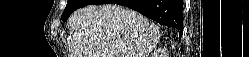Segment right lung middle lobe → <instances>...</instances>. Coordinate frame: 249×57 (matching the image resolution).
Returning a JSON list of instances; mask_svg holds the SVG:
<instances>
[{"label": "right lung middle lobe", "instance_id": "dd1d6c3e", "mask_svg": "<svg viewBox=\"0 0 249 57\" xmlns=\"http://www.w3.org/2000/svg\"><path fill=\"white\" fill-rule=\"evenodd\" d=\"M91 1L92 0H68L64 13L61 17L62 20L66 21L74 10L89 5Z\"/></svg>", "mask_w": 249, "mask_h": 57}]
</instances>
